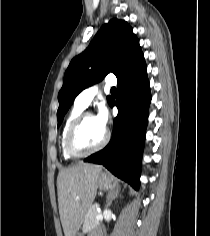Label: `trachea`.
<instances>
[{"instance_id": "trachea-1", "label": "trachea", "mask_w": 210, "mask_h": 236, "mask_svg": "<svg viewBox=\"0 0 210 236\" xmlns=\"http://www.w3.org/2000/svg\"><path fill=\"white\" fill-rule=\"evenodd\" d=\"M111 92H116V88L113 87V88L111 89Z\"/></svg>"}]
</instances>
